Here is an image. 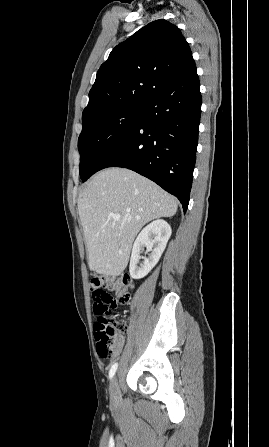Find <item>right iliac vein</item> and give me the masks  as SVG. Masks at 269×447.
Segmentation results:
<instances>
[{
  "instance_id": "63e3f726",
  "label": "right iliac vein",
  "mask_w": 269,
  "mask_h": 447,
  "mask_svg": "<svg viewBox=\"0 0 269 447\" xmlns=\"http://www.w3.org/2000/svg\"><path fill=\"white\" fill-rule=\"evenodd\" d=\"M110 401L111 404L117 406L120 400L119 384L116 377H113L110 384Z\"/></svg>"
}]
</instances>
